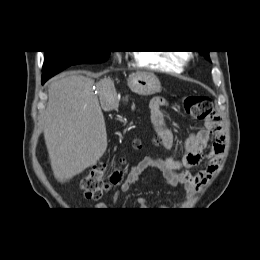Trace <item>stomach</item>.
Wrapping results in <instances>:
<instances>
[{
	"label": "stomach",
	"mask_w": 260,
	"mask_h": 260,
	"mask_svg": "<svg viewBox=\"0 0 260 260\" xmlns=\"http://www.w3.org/2000/svg\"><path fill=\"white\" fill-rule=\"evenodd\" d=\"M128 86L141 96L154 95L161 91L159 79L152 73H136L129 77Z\"/></svg>",
	"instance_id": "0dacf381"
}]
</instances>
